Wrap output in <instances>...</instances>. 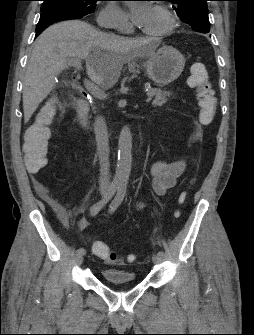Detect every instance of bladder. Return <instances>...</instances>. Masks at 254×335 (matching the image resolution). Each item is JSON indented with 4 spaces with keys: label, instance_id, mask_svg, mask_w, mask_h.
Listing matches in <instances>:
<instances>
[{
    "label": "bladder",
    "instance_id": "1",
    "mask_svg": "<svg viewBox=\"0 0 254 335\" xmlns=\"http://www.w3.org/2000/svg\"><path fill=\"white\" fill-rule=\"evenodd\" d=\"M103 279L110 285H127L136 281L135 273L118 267L105 268L101 271Z\"/></svg>",
    "mask_w": 254,
    "mask_h": 335
}]
</instances>
